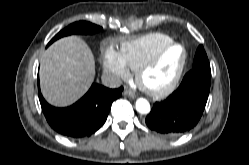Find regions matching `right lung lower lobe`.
<instances>
[{
    "instance_id": "1",
    "label": "right lung lower lobe",
    "mask_w": 249,
    "mask_h": 165,
    "mask_svg": "<svg viewBox=\"0 0 249 165\" xmlns=\"http://www.w3.org/2000/svg\"><path fill=\"white\" fill-rule=\"evenodd\" d=\"M123 88L109 89L93 83L75 104L57 108L43 98L39 81V100L49 125L58 133L72 138L89 137L106 121L112 102L122 95Z\"/></svg>"
}]
</instances>
